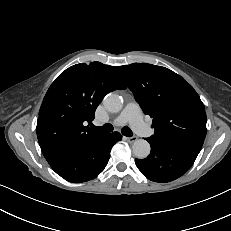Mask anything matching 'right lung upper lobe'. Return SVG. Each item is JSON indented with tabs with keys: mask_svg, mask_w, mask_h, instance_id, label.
Wrapping results in <instances>:
<instances>
[{
	"mask_svg": "<svg viewBox=\"0 0 231 231\" xmlns=\"http://www.w3.org/2000/svg\"><path fill=\"white\" fill-rule=\"evenodd\" d=\"M118 73L119 66L82 63L63 71L51 84L36 128L49 164L86 149L104 135L86 123L95 118V110L107 93L126 89Z\"/></svg>",
	"mask_w": 231,
	"mask_h": 231,
	"instance_id": "right-lung-upper-lobe-1",
	"label": "right lung upper lobe"
}]
</instances>
